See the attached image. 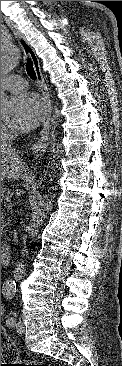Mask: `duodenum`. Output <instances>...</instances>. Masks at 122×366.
Returning <instances> with one entry per match:
<instances>
[{
    "instance_id": "1",
    "label": "duodenum",
    "mask_w": 122,
    "mask_h": 366,
    "mask_svg": "<svg viewBox=\"0 0 122 366\" xmlns=\"http://www.w3.org/2000/svg\"><path fill=\"white\" fill-rule=\"evenodd\" d=\"M7 250V247L6 245H1V251H6ZM19 275H16V277H18Z\"/></svg>"
}]
</instances>
